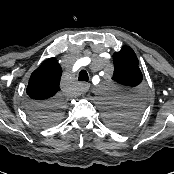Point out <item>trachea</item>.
<instances>
[{
    "mask_svg": "<svg viewBox=\"0 0 174 174\" xmlns=\"http://www.w3.org/2000/svg\"><path fill=\"white\" fill-rule=\"evenodd\" d=\"M78 80L79 81H86V82H88V80H89L88 73L85 70H81L79 72Z\"/></svg>",
    "mask_w": 174,
    "mask_h": 174,
    "instance_id": "obj_1",
    "label": "trachea"
}]
</instances>
